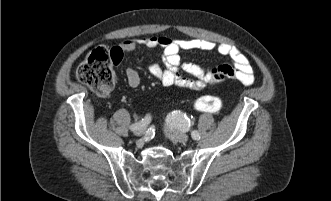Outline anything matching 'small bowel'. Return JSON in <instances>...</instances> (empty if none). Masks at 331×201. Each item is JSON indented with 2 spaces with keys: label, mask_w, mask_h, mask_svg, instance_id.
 Returning a JSON list of instances; mask_svg holds the SVG:
<instances>
[{
  "label": "small bowel",
  "mask_w": 331,
  "mask_h": 201,
  "mask_svg": "<svg viewBox=\"0 0 331 201\" xmlns=\"http://www.w3.org/2000/svg\"><path fill=\"white\" fill-rule=\"evenodd\" d=\"M140 47L161 48L163 50L164 66L153 63L149 71L164 86H179L191 90H201L206 86L221 83L228 79L238 80L244 85L254 83V71L249 59L236 46L221 43L215 44L204 39H171L165 36H140L123 41L120 49L132 52ZM213 51L232 60V65L222 64L214 68L204 69L192 62L183 61L182 51ZM191 77H186L180 71ZM128 85L135 89L140 86L141 80L138 72L126 68Z\"/></svg>",
  "instance_id": "1"
}]
</instances>
